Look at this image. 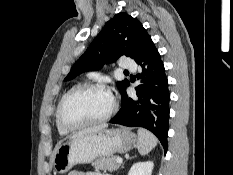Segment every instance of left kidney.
Returning <instances> with one entry per match:
<instances>
[{
  "label": "left kidney",
  "mask_w": 233,
  "mask_h": 175,
  "mask_svg": "<svg viewBox=\"0 0 233 175\" xmlns=\"http://www.w3.org/2000/svg\"><path fill=\"white\" fill-rule=\"evenodd\" d=\"M154 163L152 161L137 162L128 172V175H152Z\"/></svg>",
  "instance_id": "1"
}]
</instances>
